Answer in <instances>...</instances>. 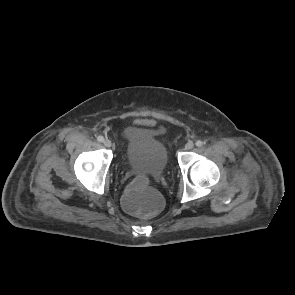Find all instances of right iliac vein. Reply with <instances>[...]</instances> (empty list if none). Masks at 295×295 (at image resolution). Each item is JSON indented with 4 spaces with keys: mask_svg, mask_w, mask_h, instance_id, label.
Instances as JSON below:
<instances>
[{
    "mask_svg": "<svg viewBox=\"0 0 295 295\" xmlns=\"http://www.w3.org/2000/svg\"><path fill=\"white\" fill-rule=\"evenodd\" d=\"M103 143H104V146L107 147V148H110L111 145H112V142L109 139H105L103 141Z\"/></svg>",
    "mask_w": 295,
    "mask_h": 295,
    "instance_id": "1",
    "label": "right iliac vein"
}]
</instances>
